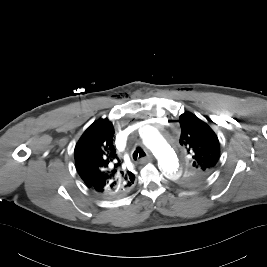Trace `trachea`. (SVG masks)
<instances>
[{"label": "trachea", "instance_id": "3493384b", "mask_svg": "<svg viewBox=\"0 0 267 267\" xmlns=\"http://www.w3.org/2000/svg\"><path fill=\"white\" fill-rule=\"evenodd\" d=\"M145 156H146V153L141 147H137L136 150L133 152V159L135 161Z\"/></svg>", "mask_w": 267, "mask_h": 267}]
</instances>
